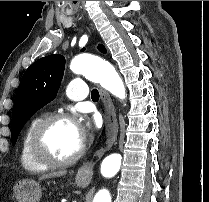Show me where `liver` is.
Returning a JSON list of instances; mask_svg holds the SVG:
<instances>
[{"instance_id": "6515ba94", "label": "liver", "mask_w": 209, "mask_h": 202, "mask_svg": "<svg viewBox=\"0 0 209 202\" xmlns=\"http://www.w3.org/2000/svg\"><path fill=\"white\" fill-rule=\"evenodd\" d=\"M65 174H66V171H58V172H55V173H50V174H47V175H43L40 179L58 177V176H63Z\"/></svg>"}]
</instances>
